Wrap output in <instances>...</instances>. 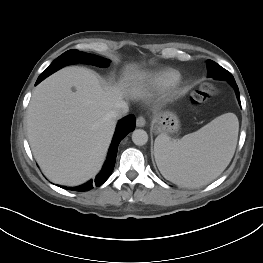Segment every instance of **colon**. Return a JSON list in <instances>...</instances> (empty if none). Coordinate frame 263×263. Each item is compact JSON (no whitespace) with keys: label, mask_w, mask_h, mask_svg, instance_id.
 Returning a JSON list of instances; mask_svg holds the SVG:
<instances>
[{"label":"colon","mask_w":263,"mask_h":263,"mask_svg":"<svg viewBox=\"0 0 263 263\" xmlns=\"http://www.w3.org/2000/svg\"><path fill=\"white\" fill-rule=\"evenodd\" d=\"M218 88L212 84H203L193 95L192 102L200 105L218 94Z\"/></svg>","instance_id":"colon-1"}]
</instances>
